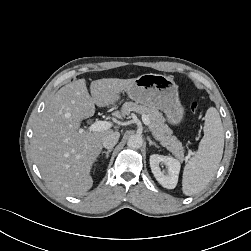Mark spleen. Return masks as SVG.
Listing matches in <instances>:
<instances>
[{
    "mask_svg": "<svg viewBox=\"0 0 251 251\" xmlns=\"http://www.w3.org/2000/svg\"><path fill=\"white\" fill-rule=\"evenodd\" d=\"M204 137L185 165L182 191L190 196L201 192L215 175L223 155L224 130L219 112L210 107L205 114Z\"/></svg>",
    "mask_w": 251,
    "mask_h": 251,
    "instance_id": "1",
    "label": "spleen"
}]
</instances>
